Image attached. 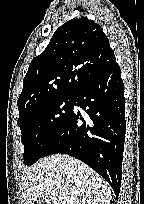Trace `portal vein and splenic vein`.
I'll return each mask as SVG.
<instances>
[{
	"instance_id": "1",
	"label": "portal vein and splenic vein",
	"mask_w": 144,
	"mask_h": 204,
	"mask_svg": "<svg viewBox=\"0 0 144 204\" xmlns=\"http://www.w3.org/2000/svg\"><path fill=\"white\" fill-rule=\"evenodd\" d=\"M51 195L55 196V195H57V192L56 191H51Z\"/></svg>"
}]
</instances>
